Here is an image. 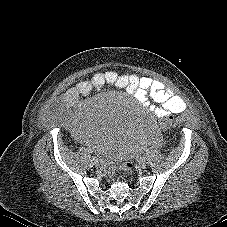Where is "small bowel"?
<instances>
[{"instance_id": "small-bowel-1", "label": "small bowel", "mask_w": 227, "mask_h": 227, "mask_svg": "<svg viewBox=\"0 0 227 227\" xmlns=\"http://www.w3.org/2000/svg\"><path fill=\"white\" fill-rule=\"evenodd\" d=\"M105 86L132 95L151 115L159 119L167 112L178 114L186 106L180 96L159 80L146 76L120 75L115 71L97 72L90 79L82 80L68 89L61 98V101L73 110L64 115L63 126L70 131L76 141L90 143L97 149L101 147V140L93 139L89 135L91 123L87 116L88 103L85 97ZM149 100L158 105L148 104Z\"/></svg>"}]
</instances>
